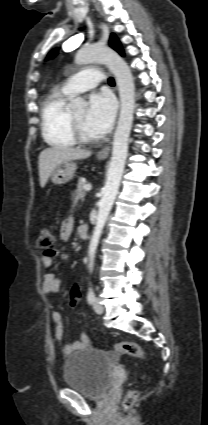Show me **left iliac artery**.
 Instances as JSON below:
<instances>
[{"mask_svg":"<svg viewBox=\"0 0 208 425\" xmlns=\"http://www.w3.org/2000/svg\"><path fill=\"white\" fill-rule=\"evenodd\" d=\"M94 299H95V293L93 289L90 287L87 294V301L89 304H92L94 302Z\"/></svg>","mask_w":208,"mask_h":425,"instance_id":"1","label":"left iliac artery"}]
</instances>
